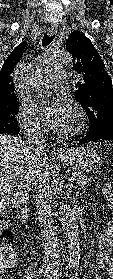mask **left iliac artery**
<instances>
[{
    "label": "left iliac artery",
    "instance_id": "1",
    "mask_svg": "<svg viewBox=\"0 0 113 279\" xmlns=\"http://www.w3.org/2000/svg\"><path fill=\"white\" fill-rule=\"evenodd\" d=\"M54 275H56V274H54ZM55 277H56V279H59V278L57 277V275H56Z\"/></svg>",
    "mask_w": 113,
    "mask_h": 279
}]
</instances>
